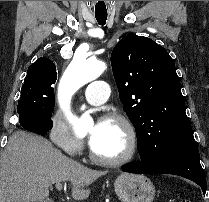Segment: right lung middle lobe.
<instances>
[{"label": "right lung middle lobe", "instance_id": "dd1d6c3e", "mask_svg": "<svg viewBox=\"0 0 209 202\" xmlns=\"http://www.w3.org/2000/svg\"><path fill=\"white\" fill-rule=\"evenodd\" d=\"M57 75H34L25 78L18 101L19 120L26 118L50 121L54 107V88Z\"/></svg>", "mask_w": 209, "mask_h": 202}]
</instances>
